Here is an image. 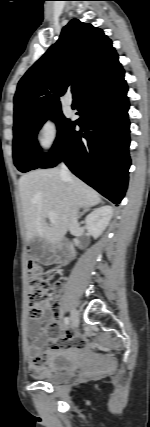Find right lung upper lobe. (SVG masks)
<instances>
[{"instance_id": "1", "label": "right lung upper lobe", "mask_w": 150, "mask_h": 427, "mask_svg": "<svg viewBox=\"0 0 150 427\" xmlns=\"http://www.w3.org/2000/svg\"><path fill=\"white\" fill-rule=\"evenodd\" d=\"M111 40L100 28L71 20L56 42L25 73L14 97V123L60 106L59 96L75 83L79 94L119 66Z\"/></svg>"}]
</instances>
